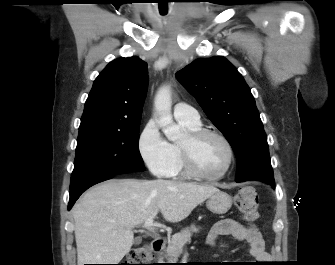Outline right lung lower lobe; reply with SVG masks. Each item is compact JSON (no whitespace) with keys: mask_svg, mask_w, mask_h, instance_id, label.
<instances>
[{"mask_svg":"<svg viewBox=\"0 0 335 265\" xmlns=\"http://www.w3.org/2000/svg\"><path fill=\"white\" fill-rule=\"evenodd\" d=\"M114 176V174H101L97 175L91 178H88L80 183H78L76 186L70 188V200L68 204V210L72 208L75 201L80 197V195L89 187H91L94 184H97L99 182L105 181L107 179H110Z\"/></svg>","mask_w":335,"mask_h":265,"instance_id":"right-lung-lower-lobe-1","label":"right lung lower lobe"}]
</instances>
